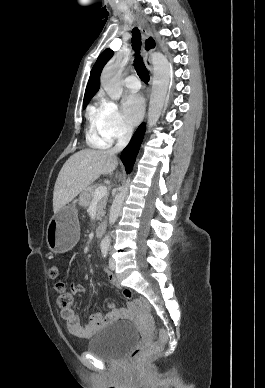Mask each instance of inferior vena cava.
I'll return each mask as SVG.
<instances>
[{
	"label": "inferior vena cava",
	"instance_id": "602c4592",
	"mask_svg": "<svg viewBox=\"0 0 265 388\" xmlns=\"http://www.w3.org/2000/svg\"><path fill=\"white\" fill-rule=\"evenodd\" d=\"M132 132H133V128H131V126H126L124 130V134H122L116 146H114V148H111L109 152H112V154H118V152H122V150L126 148L127 144H129L130 138L132 136Z\"/></svg>",
	"mask_w": 265,
	"mask_h": 388
}]
</instances>
